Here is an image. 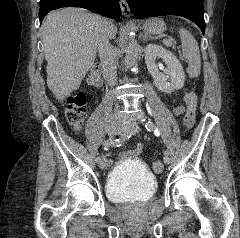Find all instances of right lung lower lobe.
Listing matches in <instances>:
<instances>
[{"mask_svg": "<svg viewBox=\"0 0 240 238\" xmlns=\"http://www.w3.org/2000/svg\"><path fill=\"white\" fill-rule=\"evenodd\" d=\"M67 6L86 8L94 13H99L115 20H119L121 16L118 0H48L43 5H40V23L43 21L45 15L51 10Z\"/></svg>", "mask_w": 240, "mask_h": 238, "instance_id": "98d812e1", "label": "right lung lower lobe"}]
</instances>
